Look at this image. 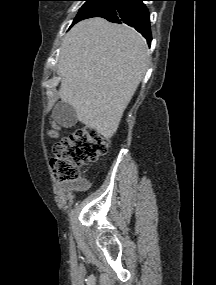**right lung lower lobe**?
Wrapping results in <instances>:
<instances>
[{
  "instance_id": "obj_1",
  "label": "right lung lower lobe",
  "mask_w": 216,
  "mask_h": 285,
  "mask_svg": "<svg viewBox=\"0 0 216 285\" xmlns=\"http://www.w3.org/2000/svg\"><path fill=\"white\" fill-rule=\"evenodd\" d=\"M145 0H119L110 8L94 17H103L110 22L126 23L140 32L148 42L152 40L149 12L143 4Z\"/></svg>"
}]
</instances>
